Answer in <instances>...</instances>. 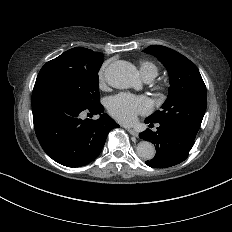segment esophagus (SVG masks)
Returning <instances> with one entry per match:
<instances>
[{"label": "esophagus", "mask_w": 232, "mask_h": 232, "mask_svg": "<svg viewBox=\"0 0 232 232\" xmlns=\"http://www.w3.org/2000/svg\"><path fill=\"white\" fill-rule=\"evenodd\" d=\"M126 130L130 133V134H132L133 136H138V132L137 131H135L134 129H132V128H126Z\"/></svg>", "instance_id": "1"}]
</instances>
